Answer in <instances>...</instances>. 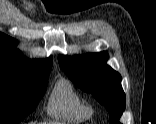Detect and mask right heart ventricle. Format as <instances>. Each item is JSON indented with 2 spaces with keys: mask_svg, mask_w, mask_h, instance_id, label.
<instances>
[{
  "mask_svg": "<svg viewBox=\"0 0 156 124\" xmlns=\"http://www.w3.org/2000/svg\"><path fill=\"white\" fill-rule=\"evenodd\" d=\"M47 113L57 120L80 123L89 119L93 110L68 80L60 79L49 95Z\"/></svg>",
  "mask_w": 156,
  "mask_h": 124,
  "instance_id": "e07e8e85",
  "label": "right heart ventricle"
}]
</instances>
